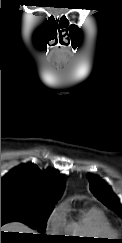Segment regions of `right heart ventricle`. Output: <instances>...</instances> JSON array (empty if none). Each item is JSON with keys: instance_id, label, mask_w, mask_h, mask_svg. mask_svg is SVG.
Segmentation results:
<instances>
[{"instance_id": "1", "label": "right heart ventricle", "mask_w": 122, "mask_h": 243, "mask_svg": "<svg viewBox=\"0 0 122 243\" xmlns=\"http://www.w3.org/2000/svg\"><path fill=\"white\" fill-rule=\"evenodd\" d=\"M66 221V219H65ZM65 232L87 238H111L115 232L105 214L96 207L84 209L66 222Z\"/></svg>"}]
</instances>
